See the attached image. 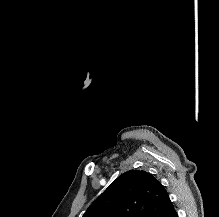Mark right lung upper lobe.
Wrapping results in <instances>:
<instances>
[{"instance_id":"cb5924a9","label":"right lung upper lobe","mask_w":219,"mask_h":217,"mask_svg":"<svg viewBox=\"0 0 219 217\" xmlns=\"http://www.w3.org/2000/svg\"><path fill=\"white\" fill-rule=\"evenodd\" d=\"M173 209L168 192L154 176L130 170L112 182L83 217H167Z\"/></svg>"}]
</instances>
